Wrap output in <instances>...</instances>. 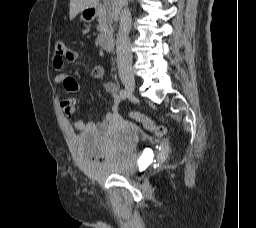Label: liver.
<instances>
[{
  "label": "liver",
  "mask_w": 256,
  "mask_h": 228,
  "mask_svg": "<svg viewBox=\"0 0 256 228\" xmlns=\"http://www.w3.org/2000/svg\"><path fill=\"white\" fill-rule=\"evenodd\" d=\"M99 0H70V19H74L76 15L86 8L96 7Z\"/></svg>",
  "instance_id": "obj_1"
}]
</instances>
